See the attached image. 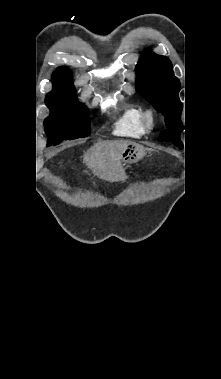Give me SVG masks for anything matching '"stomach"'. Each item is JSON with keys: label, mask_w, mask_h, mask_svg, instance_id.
I'll return each instance as SVG.
<instances>
[{"label": "stomach", "mask_w": 221, "mask_h": 379, "mask_svg": "<svg viewBox=\"0 0 221 379\" xmlns=\"http://www.w3.org/2000/svg\"><path fill=\"white\" fill-rule=\"evenodd\" d=\"M146 155V150L140 145L130 144L125 148L121 155V161L124 165L138 162Z\"/></svg>", "instance_id": "0dacf381"}]
</instances>
